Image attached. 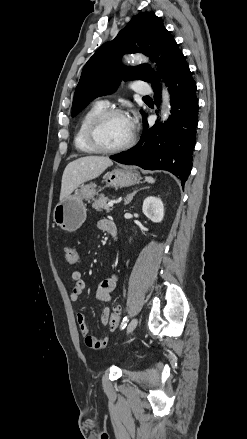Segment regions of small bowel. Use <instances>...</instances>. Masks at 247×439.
<instances>
[{"mask_svg": "<svg viewBox=\"0 0 247 439\" xmlns=\"http://www.w3.org/2000/svg\"><path fill=\"white\" fill-rule=\"evenodd\" d=\"M111 221L109 220H101L98 223V227L100 230L105 231V232H109V224ZM71 279L74 283L72 292L70 294V299L73 302H76L79 300L80 296L82 295V293L84 292L85 288H86V283L82 278V274L79 270H74L71 273ZM116 283H117V276L116 275H111L110 277L102 280L98 287H97V291H96V297L98 300L103 301V302H109L111 300V293L113 292V290L116 287ZM110 309L106 308L103 310L102 314H101V322L106 325L109 321V316H110ZM76 320L79 326V331L82 335V337L84 338V342L86 344V346L90 349L93 350H100L103 349L107 346L108 344V338H97L94 336H91L89 334V330L86 324V318L85 315L82 312H78L76 315Z\"/></svg>", "mask_w": 247, "mask_h": 439, "instance_id": "small-bowel-1", "label": "small bowel"}]
</instances>
